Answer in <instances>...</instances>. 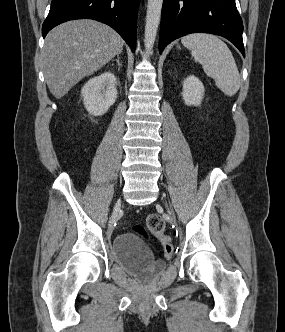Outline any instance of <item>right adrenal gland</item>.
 I'll return each mask as SVG.
<instances>
[{
	"label": "right adrenal gland",
	"mask_w": 285,
	"mask_h": 332,
	"mask_svg": "<svg viewBox=\"0 0 285 332\" xmlns=\"http://www.w3.org/2000/svg\"><path fill=\"white\" fill-rule=\"evenodd\" d=\"M115 61L118 64V66H121V63H120V54L117 55V58H116Z\"/></svg>",
	"instance_id": "right-adrenal-gland-1"
}]
</instances>
